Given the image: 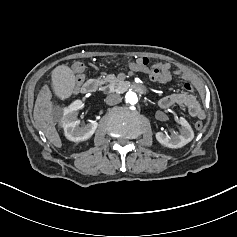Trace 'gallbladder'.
I'll list each match as a JSON object with an SVG mask.
<instances>
[{
  "instance_id": "gallbladder-1",
  "label": "gallbladder",
  "mask_w": 237,
  "mask_h": 237,
  "mask_svg": "<svg viewBox=\"0 0 237 237\" xmlns=\"http://www.w3.org/2000/svg\"><path fill=\"white\" fill-rule=\"evenodd\" d=\"M75 76L65 64H60L52 71V86L57 98L67 100L74 90Z\"/></svg>"
}]
</instances>
